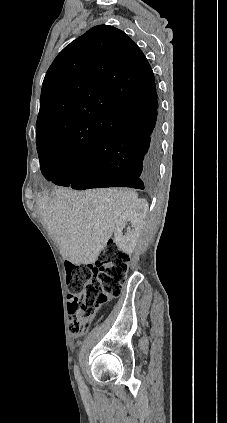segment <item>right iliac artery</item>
Listing matches in <instances>:
<instances>
[{"label":"right iliac artery","mask_w":227,"mask_h":423,"mask_svg":"<svg viewBox=\"0 0 227 423\" xmlns=\"http://www.w3.org/2000/svg\"><path fill=\"white\" fill-rule=\"evenodd\" d=\"M74 374H75V378H76V381H77L80 389H83L85 387V385H84V382L82 380V377L80 375L79 368H78L77 365H75V367H74Z\"/></svg>","instance_id":"82829eb1"}]
</instances>
